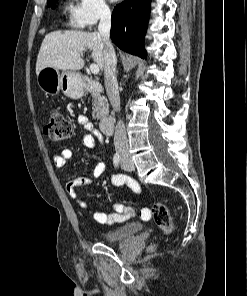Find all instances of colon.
Returning a JSON list of instances; mask_svg holds the SVG:
<instances>
[{"instance_id":"colon-1","label":"colon","mask_w":247,"mask_h":296,"mask_svg":"<svg viewBox=\"0 0 247 296\" xmlns=\"http://www.w3.org/2000/svg\"><path fill=\"white\" fill-rule=\"evenodd\" d=\"M72 131V124L67 120L62 111L53 109L50 112L49 120L44 128L45 135L53 141H61L71 137ZM150 216H152L157 228L162 233L168 234L173 230L172 218L166 204L156 202L151 212L142 214L144 219Z\"/></svg>"}]
</instances>
